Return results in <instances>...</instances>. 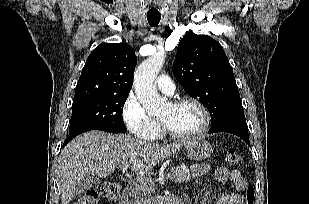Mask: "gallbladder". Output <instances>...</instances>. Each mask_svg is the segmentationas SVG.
<instances>
[{"mask_svg": "<svg viewBox=\"0 0 309 204\" xmlns=\"http://www.w3.org/2000/svg\"><path fill=\"white\" fill-rule=\"evenodd\" d=\"M99 181V179L91 176H84L82 177L76 185V191L75 193L78 195L86 190H89L92 188L94 184H96Z\"/></svg>", "mask_w": 309, "mask_h": 204, "instance_id": "obj_1", "label": "gallbladder"}]
</instances>
